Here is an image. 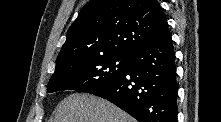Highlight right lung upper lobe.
Masks as SVG:
<instances>
[{"label": "right lung upper lobe", "instance_id": "cb5924a9", "mask_svg": "<svg viewBox=\"0 0 221 122\" xmlns=\"http://www.w3.org/2000/svg\"><path fill=\"white\" fill-rule=\"evenodd\" d=\"M167 26L156 0H91L68 29L53 76L101 56L131 57Z\"/></svg>", "mask_w": 221, "mask_h": 122}]
</instances>
